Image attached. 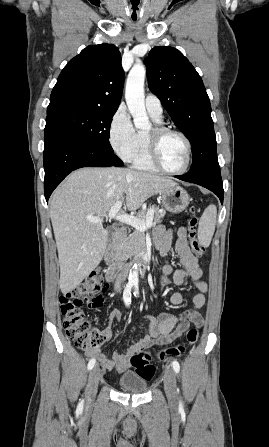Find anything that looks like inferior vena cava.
Masks as SVG:
<instances>
[{
	"mask_svg": "<svg viewBox=\"0 0 269 447\" xmlns=\"http://www.w3.org/2000/svg\"><path fill=\"white\" fill-rule=\"evenodd\" d=\"M121 283H122V281H121V273H119V275H118V277H117V279H116V281L114 283V289H116V291H120Z\"/></svg>",
	"mask_w": 269,
	"mask_h": 447,
	"instance_id": "obj_1",
	"label": "inferior vena cava"
}]
</instances>
